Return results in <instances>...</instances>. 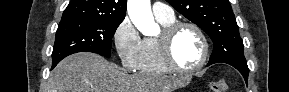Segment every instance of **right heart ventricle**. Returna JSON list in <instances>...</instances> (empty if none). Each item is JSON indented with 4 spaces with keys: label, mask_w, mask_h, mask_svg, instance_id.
<instances>
[{
    "label": "right heart ventricle",
    "mask_w": 289,
    "mask_h": 92,
    "mask_svg": "<svg viewBox=\"0 0 289 92\" xmlns=\"http://www.w3.org/2000/svg\"><path fill=\"white\" fill-rule=\"evenodd\" d=\"M166 27L175 22V18H157ZM137 70L145 74H167L170 70L164 65L159 52L157 38L146 37L142 40V55Z\"/></svg>",
    "instance_id": "e07e8e85"
}]
</instances>
